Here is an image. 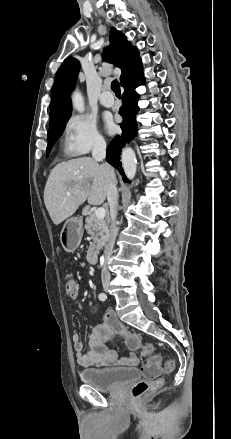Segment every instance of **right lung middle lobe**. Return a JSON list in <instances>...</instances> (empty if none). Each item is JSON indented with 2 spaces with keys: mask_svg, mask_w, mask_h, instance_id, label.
Masks as SVG:
<instances>
[{
  "mask_svg": "<svg viewBox=\"0 0 231 439\" xmlns=\"http://www.w3.org/2000/svg\"><path fill=\"white\" fill-rule=\"evenodd\" d=\"M68 121V119L64 120L63 122L59 123L56 126L50 127V129L48 130V145H47V154L50 152L53 144L55 143V141L58 139L59 136H61L65 126H66V122Z\"/></svg>",
  "mask_w": 231,
  "mask_h": 439,
  "instance_id": "1",
  "label": "right lung middle lobe"
}]
</instances>
